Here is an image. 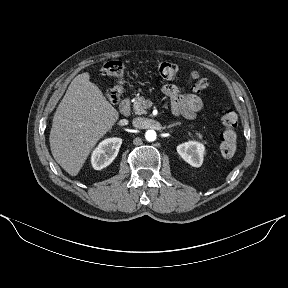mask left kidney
I'll return each mask as SVG.
<instances>
[{
    "mask_svg": "<svg viewBox=\"0 0 288 288\" xmlns=\"http://www.w3.org/2000/svg\"><path fill=\"white\" fill-rule=\"evenodd\" d=\"M179 155L191 166L200 167L203 163L205 147L197 141H189L177 146Z\"/></svg>",
    "mask_w": 288,
    "mask_h": 288,
    "instance_id": "left-kidney-1",
    "label": "left kidney"
}]
</instances>
